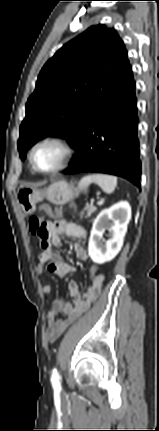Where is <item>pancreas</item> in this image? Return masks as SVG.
Wrapping results in <instances>:
<instances>
[{
    "mask_svg": "<svg viewBox=\"0 0 159 431\" xmlns=\"http://www.w3.org/2000/svg\"><path fill=\"white\" fill-rule=\"evenodd\" d=\"M84 210L87 211V214L84 215V211H82L81 214H80L81 219L83 217L89 218L97 210V208L94 207V206H92V205H90V206H86Z\"/></svg>",
    "mask_w": 159,
    "mask_h": 431,
    "instance_id": "1",
    "label": "pancreas"
}]
</instances>
